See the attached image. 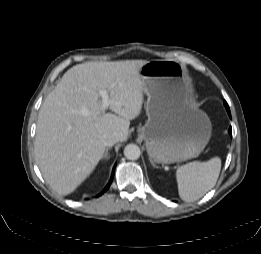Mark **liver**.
<instances>
[{
	"label": "liver",
	"mask_w": 261,
	"mask_h": 254,
	"mask_svg": "<svg viewBox=\"0 0 261 254\" xmlns=\"http://www.w3.org/2000/svg\"><path fill=\"white\" fill-rule=\"evenodd\" d=\"M146 60L86 62L70 68L43 102L34 143L36 163L59 195L72 193L103 158L104 139H127L130 120L139 116ZM109 96L105 113L99 92Z\"/></svg>",
	"instance_id": "1"
}]
</instances>
